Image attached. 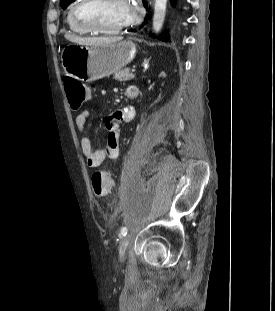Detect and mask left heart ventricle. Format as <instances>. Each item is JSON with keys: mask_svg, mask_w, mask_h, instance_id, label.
I'll use <instances>...</instances> for the list:
<instances>
[{"mask_svg": "<svg viewBox=\"0 0 275 311\" xmlns=\"http://www.w3.org/2000/svg\"><path fill=\"white\" fill-rule=\"evenodd\" d=\"M98 26L113 29L126 23V6L124 0H105L91 5L81 12Z\"/></svg>", "mask_w": 275, "mask_h": 311, "instance_id": "left-heart-ventricle-1", "label": "left heart ventricle"}]
</instances>
